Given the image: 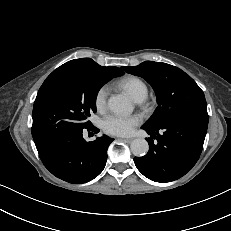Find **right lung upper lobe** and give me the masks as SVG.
<instances>
[{
  "instance_id": "right-lung-upper-lobe-1",
  "label": "right lung upper lobe",
  "mask_w": 231,
  "mask_h": 231,
  "mask_svg": "<svg viewBox=\"0 0 231 231\" xmlns=\"http://www.w3.org/2000/svg\"><path fill=\"white\" fill-rule=\"evenodd\" d=\"M81 68H95V69H100L109 73H117L119 75L124 74V72L117 68V67H103L94 62L90 58H81V59H74L71 60L60 67H58L54 71H59V70H65V69H81Z\"/></svg>"
}]
</instances>
